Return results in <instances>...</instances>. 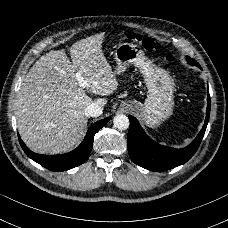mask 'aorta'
Returning a JSON list of instances; mask_svg holds the SVG:
<instances>
[{"label":"aorta","instance_id":"1","mask_svg":"<svg viewBox=\"0 0 228 228\" xmlns=\"http://www.w3.org/2000/svg\"><path fill=\"white\" fill-rule=\"evenodd\" d=\"M129 119L124 114H117L113 118V125L118 130H126L129 128Z\"/></svg>","mask_w":228,"mask_h":228}]
</instances>
